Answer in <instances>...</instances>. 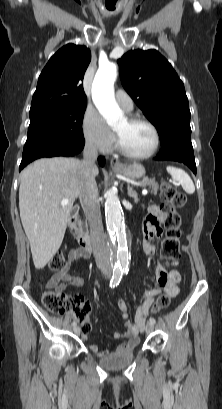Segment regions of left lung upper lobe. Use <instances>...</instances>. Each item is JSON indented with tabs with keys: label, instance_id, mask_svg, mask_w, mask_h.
<instances>
[{
	"label": "left lung upper lobe",
	"instance_id": "obj_1",
	"mask_svg": "<svg viewBox=\"0 0 222 409\" xmlns=\"http://www.w3.org/2000/svg\"><path fill=\"white\" fill-rule=\"evenodd\" d=\"M121 83L159 133L162 147L191 143L190 110L183 82L156 50H132L118 60Z\"/></svg>",
	"mask_w": 222,
	"mask_h": 409
}]
</instances>
